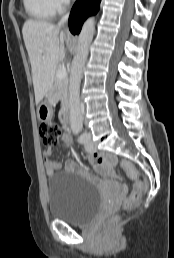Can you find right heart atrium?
Returning a JSON list of instances; mask_svg holds the SVG:
<instances>
[{"label":"right heart atrium","instance_id":"1","mask_svg":"<svg viewBox=\"0 0 174 258\" xmlns=\"http://www.w3.org/2000/svg\"><path fill=\"white\" fill-rule=\"evenodd\" d=\"M54 9L60 11L64 9L70 2V0H50Z\"/></svg>","mask_w":174,"mask_h":258}]
</instances>
